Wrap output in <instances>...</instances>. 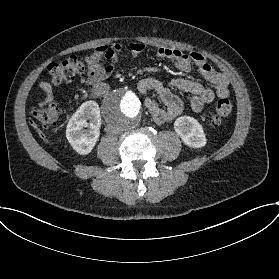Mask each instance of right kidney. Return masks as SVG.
Segmentation results:
<instances>
[{"label":"right kidney","mask_w":279,"mask_h":279,"mask_svg":"<svg viewBox=\"0 0 279 279\" xmlns=\"http://www.w3.org/2000/svg\"><path fill=\"white\" fill-rule=\"evenodd\" d=\"M88 120H90L88 122ZM90 129H84L89 127ZM101 113L95 101L84 102L68 121L66 138L81 156L92 152L100 138Z\"/></svg>","instance_id":"obj_1"}]
</instances>
